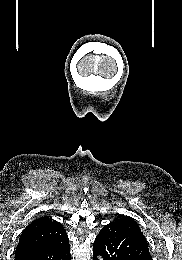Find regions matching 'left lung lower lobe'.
<instances>
[{"mask_svg": "<svg viewBox=\"0 0 182 260\" xmlns=\"http://www.w3.org/2000/svg\"><path fill=\"white\" fill-rule=\"evenodd\" d=\"M94 260H152L145 239L112 226H104L93 246Z\"/></svg>", "mask_w": 182, "mask_h": 260, "instance_id": "1", "label": "left lung lower lobe"}]
</instances>
